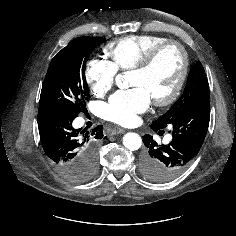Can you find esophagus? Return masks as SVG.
I'll list each match as a JSON object with an SVG mask.
<instances>
[{
  "instance_id": "34e87169",
  "label": "esophagus",
  "mask_w": 236,
  "mask_h": 236,
  "mask_svg": "<svg viewBox=\"0 0 236 236\" xmlns=\"http://www.w3.org/2000/svg\"><path fill=\"white\" fill-rule=\"evenodd\" d=\"M124 132H125V129L121 128V127H118V126H116L112 129V134L113 135L122 134Z\"/></svg>"
}]
</instances>
